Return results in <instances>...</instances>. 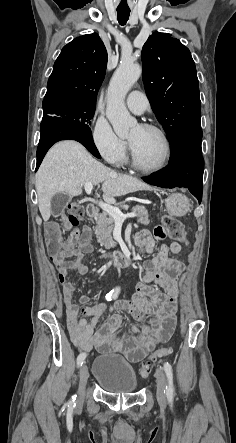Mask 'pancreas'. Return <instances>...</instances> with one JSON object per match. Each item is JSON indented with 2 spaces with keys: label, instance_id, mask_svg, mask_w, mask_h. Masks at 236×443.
I'll list each match as a JSON object with an SVG mask.
<instances>
[{
  "label": "pancreas",
  "instance_id": "obj_1",
  "mask_svg": "<svg viewBox=\"0 0 236 443\" xmlns=\"http://www.w3.org/2000/svg\"><path fill=\"white\" fill-rule=\"evenodd\" d=\"M132 212L137 214V221L143 225H149L150 220L148 218V211L143 206H134L131 209ZM115 220L105 211L97 214L96 226L94 227V233L97 237V242L100 246L105 248H111L115 246V242L112 238V231L114 228Z\"/></svg>",
  "mask_w": 236,
  "mask_h": 443
}]
</instances>
